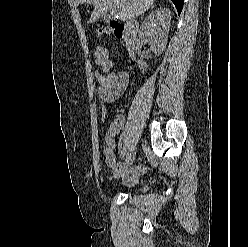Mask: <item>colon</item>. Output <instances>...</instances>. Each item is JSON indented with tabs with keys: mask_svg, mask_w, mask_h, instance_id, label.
I'll list each match as a JSON object with an SVG mask.
<instances>
[{
	"mask_svg": "<svg viewBox=\"0 0 248 247\" xmlns=\"http://www.w3.org/2000/svg\"><path fill=\"white\" fill-rule=\"evenodd\" d=\"M100 33L114 34L118 38H122V29L115 23H109L107 26L100 29ZM97 62L101 65L104 71H109V60L104 47L98 46L96 48Z\"/></svg>",
	"mask_w": 248,
	"mask_h": 247,
	"instance_id": "5ec220e1",
	"label": "colon"
}]
</instances>
